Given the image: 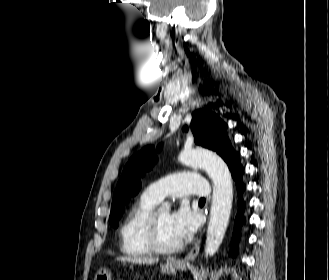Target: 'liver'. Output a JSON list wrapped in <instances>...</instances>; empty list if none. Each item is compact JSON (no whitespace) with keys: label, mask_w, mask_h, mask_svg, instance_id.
Listing matches in <instances>:
<instances>
[{"label":"liver","mask_w":329,"mask_h":280,"mask_svg":"<svg viewBox=\"0 0 329 280\" xmlns=\"http://www.w3.org/2000/svg\"><path fill=\"white\" fill-rule=\"evenodd\" d=\"M117 260L123 261V262H129L133 264H146V265H152L154 263H158V259L152 258V257H118Z\"/></svg>","instance_id":"6515ba94"}]
</instances>
